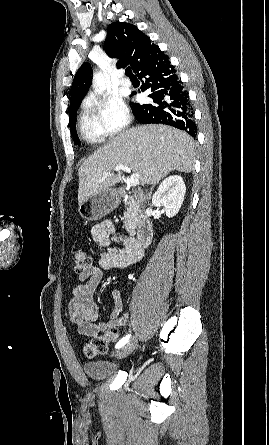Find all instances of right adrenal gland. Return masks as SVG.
<instances>
[{
  "label": "right adrenal gland",
  "instance_id": "1",
  "mask_svg": "<svg viewBox=\"0 0 269 445\" xmlns=\"http://www.w3.org/2000/svg\"><path fill=\"white\" fill-rule=\"evenodd\" d=\"M154 186H155V184H153V186H152L151 189H150V193H149L150 196H151V194H152V191H153Z\"/></svg>",
  "mask_w": 269,
  "mask_h": 445
}]
</instances>
